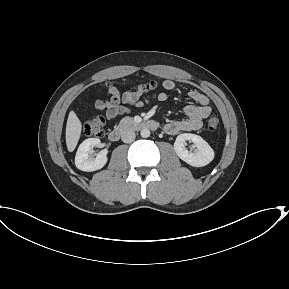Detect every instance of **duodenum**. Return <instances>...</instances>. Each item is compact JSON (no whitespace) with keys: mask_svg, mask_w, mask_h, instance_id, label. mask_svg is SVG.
<instances>
[{"mask_svg":"<svg viewBox=\"0 0 289 289\" xmlns=\"http://www.w3.org/2000/svg\"><path fill=\"white\" fill-rule=\"evenodd\" d=\"M159 127V123L154 120H147V121H133V120H126L120 123L117 127L112 129L109 132V139L111 141H118L120 137L130 131V130H142V129H150L156 130Z\"/></svg>","mask_w":289,"mask_h":289,"instance_id":"obj_1","label":"duodenum"}]
</instances>
